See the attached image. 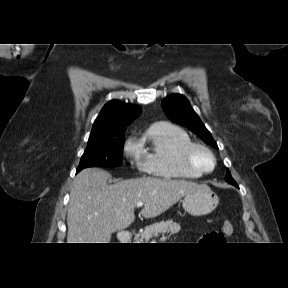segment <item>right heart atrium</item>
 <instances>
[{
	"label": "right heart atrium",
	"mask_w": 288,
	"mask_h": 288,
	"mask_svg": "<svg viewBox=\"0 0 288 288\" xmlns=\"http://www.w3.org/2000/svg\"><path fill=\"white\" fill-rule=\"evenodd\" d=\"M124 152L127 157L135 158L139 154L138 145L133 140H128L124 147Z\"/></svg>",
	"instance_id": "right-heart-atrium-1"
}]
</instances>
